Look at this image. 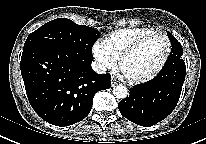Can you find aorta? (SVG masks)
<instances>
[{"instance_id":"1","label":"aorta","mask_w":206,"mask_h":144,"mask_svg":"<svg viewBox=\"0 0 206 144\" xmlns=\"http://www.w3.org/2000/svg\"><path fill=\"white\" fill-rule=\"evenodd\" d=\"M113 95L117 98V99H125L128 95V89L126 86L119 84L114 86L113 88Z\"/></svg>"}]
</instances>
